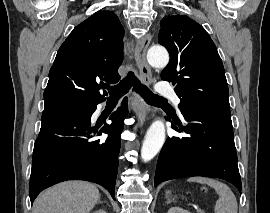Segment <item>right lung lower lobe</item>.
Returning a JSON list of instances; mask_svg holds the SVG:
<instances>
[{"label":"right lung lower lobe","instance_id":"98d812e1","mask_svg":"<svg viewBox=\"0 0 270 213\" xmlns=\"http://www.w3.org/2000/svg\"><path fill=\"white\" fill-rule=\"evenodd\" d=\"M85 109L44 111L34 144L29 183L31 203L38 194L62 181L86 180L104 186L115 199V182L123 121L128 113L127 99L111 114L112 124L98 132L91 127L96 105ZM102 133L109 136L97 139Z\"/></svg>","mask_w":270,"mask_h":213}]
</instances>
